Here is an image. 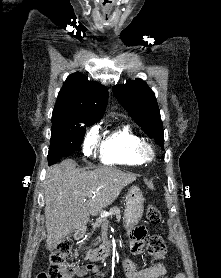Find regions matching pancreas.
I'll use <instances>...</instances> for the list:
<instances>
[{
    "label": "pancreas",
    "mask_w": 221,
    "mask_h": 278,
    "mask_svg": "<svg viewBox=\"0 0 221 278\" xmlns=\"http://www.w3.org/2000/svg\"><path fill=\"white\" fill-rule=\"evenodd\" d=\"M116 217L117 221L121 219V212L118 207H112L109 212H101L100 218L92 222V227H108L109 218Z\"/></svg>",
    "instance_id": "cf45deb5"
}]
</instances>
